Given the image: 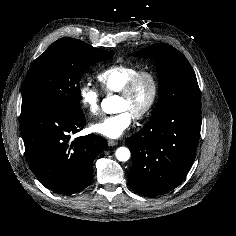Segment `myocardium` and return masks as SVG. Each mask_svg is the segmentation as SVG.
Returning a JSON list of instances; mask_svg holds the SVG:
<instances>
[{
  "instance_id": "obj_1",
  "label": "myocardium",
  "mask_w": 236,
  "mask_h": 236,
  "mask_svg": "<svg viewBox=\"0 0 236 236\" xmlns=\"http://www.w3.org/2000/svg\"><path fill=\"white\" fill-rule=\"evenodd\" d=\"M143 78L149 80L151 85V93L145 107L133 115L134 118L138 120L147 117L156 105L159 96V80L156 73L150 69H140L129 78L120 92H118L119 97L128 98L132 95L136 86Z\"/></svg>"
}]
</instances>
